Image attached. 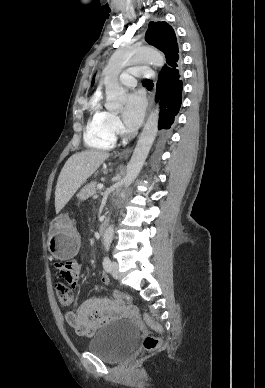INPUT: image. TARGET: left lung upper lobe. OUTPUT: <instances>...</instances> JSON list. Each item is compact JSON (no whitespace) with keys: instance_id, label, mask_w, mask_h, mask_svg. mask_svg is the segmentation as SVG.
<instances>
[{"instance_id":"left-lung-upper-lobe-1","label":"left lung upper lobe","mask_w":265,"mask_h":388,"mask_svg":"<svg viewBox=\"0 0 265 388\" xmlns=\"http://www.w3.org/2000/svg\"><path fill=\"white\" fill-rule=\"evenodd\" d=\"M145 39L165 54L167 65H164L162 71L181 64L176 35L168 23L150 22Z\"/></svg>"}]
</instances>
